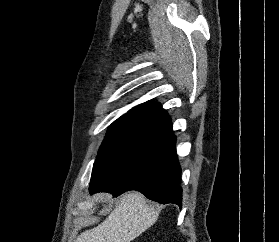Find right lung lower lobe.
Masks as SVG:
<instances>
[{"label": "right lung lower lobe", "instance_id": "obj_1", "mask_svg": "<svg viewBox=\"0 0 279 242\" xmlns=\"http://www.w3.org/2000/svg\"><path fill=\"white\" fill-rule=\"evenodd\" d=\"M157 134L100 181H91L90 194L110 192L118 196L137 190L147 198L181 207V168L176 154V136L171 119L163 118Z\"/></svg>", "mask_w": 279, "mask_h": 242}]
</instances>
